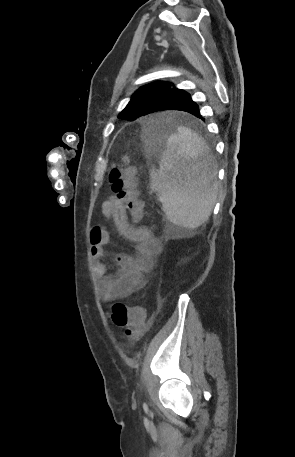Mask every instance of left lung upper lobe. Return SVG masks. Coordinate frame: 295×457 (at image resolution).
Wrapping results in <instances>:
<instances>
[{
  "label": "left lung upper lobe",
  "instance_id": "obj_1",
  "mask_svg": "<svg viewBox=\"0 0 295 457\" xmlns=\"http://www.w3.org/2000/svg\"><path fill=\"white\" fill-rule=\"evenodd\" d=\"M181 91L183 90L177 89L166 81H156L145 85L134 93L130 102L118 117L135 120L151 113L152 109L161 101Z\"/></svg>",
  "mask_w": 295,
  "mask_h": 457
}]
</instances>
